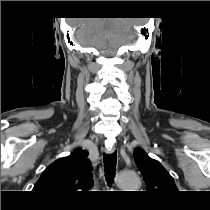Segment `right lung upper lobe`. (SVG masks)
<instances>
[{"label":"right lung upper lobe","instance_id":"1","mask_svg":"<svg viewBox=\"0 0 210 210\" xmlns=\"http://www.w3.org/2000/svg\"><path fill=\"white\" fill-rule=\"evenodd\" d=\"M87 156L88 152L77 148L68 157L56 160L41 174L33 191L57 203H65L76 198L78 191L90 189L93 181Z\"/></svg>","mask_w":210,"mask_h":210}]
</instances>
